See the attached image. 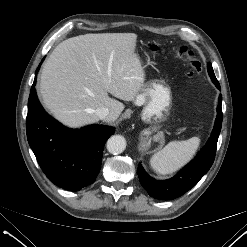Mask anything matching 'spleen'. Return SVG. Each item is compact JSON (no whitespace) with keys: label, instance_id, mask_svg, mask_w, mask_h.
<instances>
[{"label":"spleen","instance_id":"spleen-1","mask_svg":"<svg viewBox=\"0 0 247 247\" xmlns=\"http://www.w3.org/2000/svg\"><path fill=\"white\" fill-rule=\"evenodd\" d=\"M199 145V137H192L183 141H172L151 157L150 165L158 174L174 173L193 158Z\"/></svg>","mask_w":247,"mask_h":247}]
</instances>
